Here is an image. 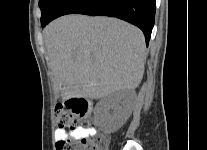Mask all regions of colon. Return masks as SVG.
Returning a JSON list of instances; mask_svg holds the SVG:
<instances>
[{"label": "colon", "instance_id": "obj_1", "mask_svg": "<svg viewBox=\"0 0 207 150\" xmlns=\"http://www.w3.org/2000/svg\"><path fill=\"white\" fill-rule=\"evenodd\" d=\"M64 105L55 107V123L59 128L77 130L88 128L87 100H64ZM107 139L102 136L65 138L57 141V150H105Z\"/></svg>", "mask_w": 207, "mask_h": 150}]
</instances>
